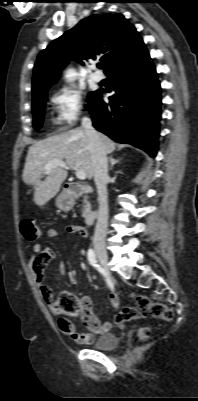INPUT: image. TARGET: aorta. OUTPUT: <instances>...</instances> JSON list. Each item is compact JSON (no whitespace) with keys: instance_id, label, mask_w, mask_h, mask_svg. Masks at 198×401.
<instances>
[{"instance_id":"aorta-1","label":"aorta","mask_w":198,"mask_h":401,"mask_svg":"<svg viewBox=\"0 0 198 401\" xmlns=\"http://www.w3.org/2000/svg\"><path fill=\"white\" fill-rule=\"evenodd\" d=\"M75 76H76L75 71L72 70V69H69V70L66 72L65 78H66L69 82H73L74 79H75Z\"/></svg>"}]
</instances>
